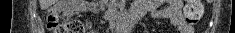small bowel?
<instances>
[{"mask_svg": "<svg viewBox=\"0 0 235 33\" xmlns=\"http://www.w3.org/2000/svg\"><path fill=\"white\" fill-rule=\"evenodd\" d=\"M162 0H139L132 8L133 15L138 18L150 14L153 18H167L179 33H193L192 26L183 15L181 0H168L165 7H161Z\"/></svg>", "mask_w": 235, "mask_h": 33, "instance_id": "1", "label": "small bowel"}]
</instances>
